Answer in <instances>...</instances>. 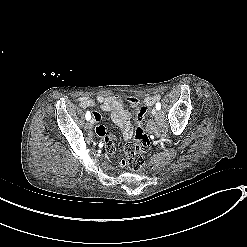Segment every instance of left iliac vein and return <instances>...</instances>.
<instances>
[{"label":"left iliac vein","mask_w":247,"mask_h":247,"mask_svg":"<svg viewBox=\"0 0 247 247\" xmlns=\"http://www.w3.org/2000/svg\"><path fill=\"white\" fill-rule=\"evenodd\" d=\"M156 114H157L156 110L153 109V110H152V115H153V116H156Z\"/></svg>","instance_id":"obj_1"}]
</instances>
